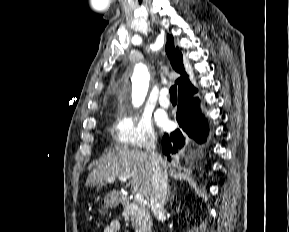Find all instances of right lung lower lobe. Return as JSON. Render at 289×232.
Here are the masks:
<instances>
[{"label":"right lung lower lobe","instance_id":"right-lung-lower-lobe-1","mask_svg":"<svg viewBox=\"0 0 289 232\" xmlns=\"http://www.w3.org/2000/svg\"><path fill=\"white\" fill-rule=\"evenodd\" d=\"M197 90L179 95L176 119L182 129L165 134L162 138V152L170 157L176 153L184 143L185 138H193L199 143L205 141L207 136V124L205 118L200 115L199 100L193 94Z\"/></svg>","mask_w":289,"mask_h":232}]
</instances>
